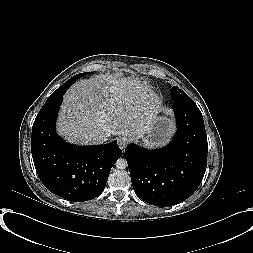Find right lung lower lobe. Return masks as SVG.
<instances>
[{"mask_svg":"<svg viewBox=\"0 0 253 253\" xmlns=\"http://www.w3.org/2000/svg\"><path fill=\"white\" fill-rule=\"evenodd\" d=\"M71 85L58 89L55 99L46 101L32 128L31 151L37 174L52 193L82 202L99 196L110 170L121 157L117 141L106 145L79 147L64 142L55 131L62 97Z\"/></svg>","mask_w":253,"mask_h":253,"instance_id":"obj_1","label":"right lung lower lobe"}]
</instances>
